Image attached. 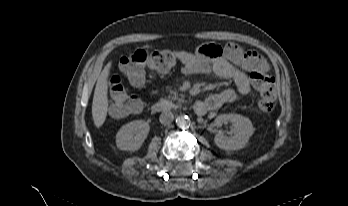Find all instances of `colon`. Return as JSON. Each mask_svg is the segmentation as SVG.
<instances>
[{
	"label": "colon",
	"instance_id": "colon-1",
	"mask_svg": "<svg viewBox=\"0 0 348 206\" xmlns=\"http://www.w3.org/2000/svg\"><path fill=\"white\" fill-rule=\"evenodd\" d=\"M178 55L170 50L135 49L120 61V68L127 79L137 87L145 82L146 69L157 73H167L176 64ZM253 87L259 93L258 110L270 112L274 108L275 80L272 76L259 71L250 74ZM110 109L116 116L137 113L142 109L141 99L128 92L120 77L112 76L109 84Z\"/></svg>",
	"mask_w": 348,
	"mask_h": 206
}]
</instances>
